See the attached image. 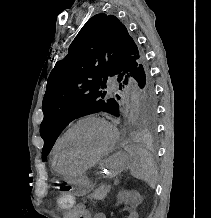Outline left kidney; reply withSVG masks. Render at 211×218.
<instances>
[{"label": "left kidney", "mask_w": 211, "mask_h": 218, "mask_svg": "<svg viewBox=\"0 0 211 218\" xmlns=\"http://www.w3.org/2000/svg\"><path fill=\"white\" fill-rule=\"evenodd\" d=\"M127 193H137V192H127ZM121 203H124V207H126L125 215H128V218H138V210L137 207H134V203H132V198H127V194H124L121 198ZM141 204V203H137Z\"/></svg>", "instance_id": "5707ae66"}]
</instances>
